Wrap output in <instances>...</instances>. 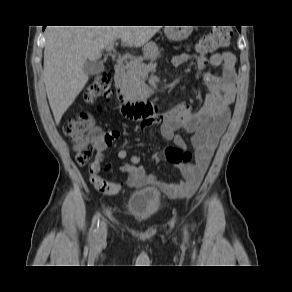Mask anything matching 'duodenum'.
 Returning <instances> with one entry per match:
<instances>
[{"instance_id":"duodenum-1","label":"duodenum","mask_w":292,"mask_h":292,"mask_svg":"<svg viewBox=\"0 0 292 292\" xmlns=\"http://www.w3.org/2000/svg\"><path fill=\"white\" fill-rule=\"evenodd\" d=\"M125 67L123 60H117L114 64V75L116 92L120 98V107L124 115L139 119L141 121H151L160 111V106L152 100H131L124 98L121 92V84L124 79Z\"/></svg>"}]
</instances>
